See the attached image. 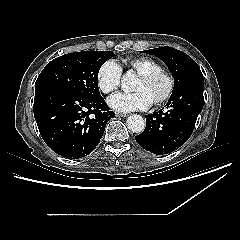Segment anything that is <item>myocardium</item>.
Returning <instances> with one entry per match:
<instances>
[{"label": "myocardium", "instance_id": "obj_1", "mask_svg": "<svg viewBox=\"0 0 240 240\" xmlns=\"http://www.w3.org/2000/svg\"><path fill=\"white\" fill-rule=\"evenodd\" d=\"M138 77L145 82H153L154 80H157V79H161L165 82L166 89L160 97H158L156 100L153 101L154 104H161L171 96V93L173 90L172 80L162 71L158 69H153L144 73H140Z\"/></svg>", "mask_w": 240, "mask_h": 240}]
</instances>
